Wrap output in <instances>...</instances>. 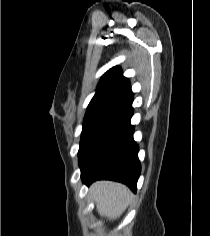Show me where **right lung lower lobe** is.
I'll return each mask as SVG.
<instances>
[{
	"label": "right lung lower lobe",
	"mask_w": 210,
	"mask_h": 236,
	"mask_svg": "<svg viewBox=\"0 0 210 236\" xmlns=\"http://www.w3.org/2000/svg\"><path fill=\"white\" fill-rule=\"evenodd\" d=\"M133 94L88 136L79 149L83 183L109 179L136 191L141 172L138 145L133 140Z\"/></svg>",
	"instance_id": "right-lung-lower-lobe-1"
}]
</instances>
